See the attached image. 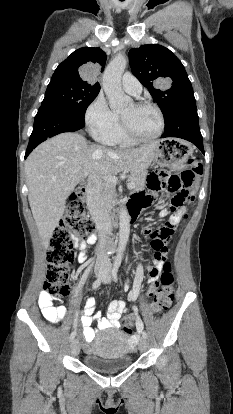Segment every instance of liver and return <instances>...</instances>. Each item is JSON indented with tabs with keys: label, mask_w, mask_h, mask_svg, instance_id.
Returning <instances> with one entry per match:
<instances>
[{
	"label": "liver",
	"mask_w": 233,
	"mask_h": 414,
	"mask_svg": "<svg viewBox=\"0 0 233 414\" xmlns=\"http://www.w3.org/2000/svg\"><path fill=\"white\" fill-rule=\"evenodd\" d=\"M157 142L137 148L108 149L90 145L79 133H60L41 143L25 162L32 215L48 247L66 200L89 176L103 178L122 171L142 172L152 163Z\"/></svg>",
	"instance_id": "obj_1"
}]
</instances>
